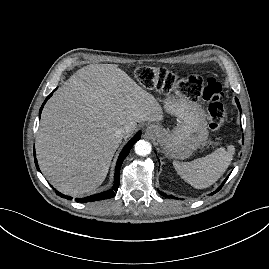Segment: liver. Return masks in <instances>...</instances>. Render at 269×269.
<instances>
[{
    "mask_svg": "<svg viewBox=\"0 0 269 269\" xmlns=\"http://www.w3.org/2000/svg\"><path fill=\"white\" fill-rule=\"evenodd\" d=\"M163 120L162 107L115 64L78 70L46 104L36 136L39 166L59 191L81 195L104 181L111 160L137 123Z\"/></svg>",
    "mask_w": 269,
    "mask_h": 269,
    "instance_id": "obj_1",
    "label": "liver"
}]
</instances>
